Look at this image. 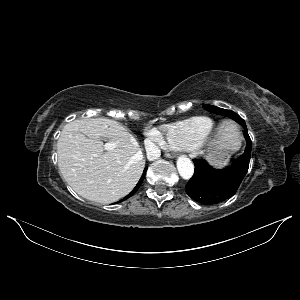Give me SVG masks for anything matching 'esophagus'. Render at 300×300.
Returning <instances> with one entry per match:
<instances>
[{"mask_svg":"<svg viewBox=\"0 0 300 300\" xmlns=\"http://www.w3.org/2000/svg\"><path fill=\"white\" fill-rule=\"evenodd\" d=\"M165 156L168 157V158H174L176 155L175 154L166 153Z\"/></svg>","mask_w":300,"mask_h":300,"instance_id":"obj_1","label":"esophagus"}]
</instances>
